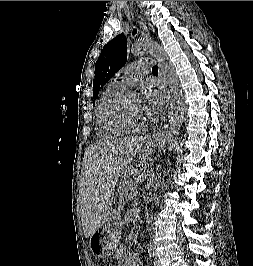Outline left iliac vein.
I'll use <instances>...</instances> for the list:
<instances>
[{"label": "left iliac vein", "instance_id": "obj_1", "mask_svg": "<svg viewBox=\"0 0 253 266\" xmlns=\"http://www.w3.org/2000/svg\"><path fill=\"white\" fill-rule=\"evenodd\" d=\"M155 266H161L160 261L157 257L155 258Z\"/></svg>", "mask_w": 253, "mask_h": 266}]
</instances>
